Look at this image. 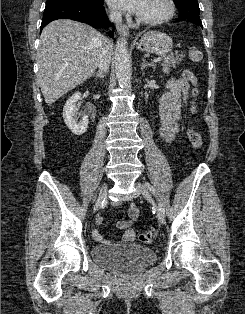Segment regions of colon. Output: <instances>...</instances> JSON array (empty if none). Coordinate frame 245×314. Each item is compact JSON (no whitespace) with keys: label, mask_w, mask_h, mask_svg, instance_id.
<instances>
[{"label":"colon","mask_w":245,"mask_h":314,"mask_svg":"<svg viewBox=\"0 0 245 314\" xmlns=\"http://www.w3.org/2000/svg\"><path fill=\"white\" fill-rule=\"evenodd\" d=\"M188 57L192 62H199L202 59V52L198 48H190L188 51ZM187 137L190 144L198 149L202 146V137L192 127L187 128ZM155 238V231L143 232L139 235L138 240L141 243H151Z\"/></svg>","instance_id":"colon-1"}]
</instances>
